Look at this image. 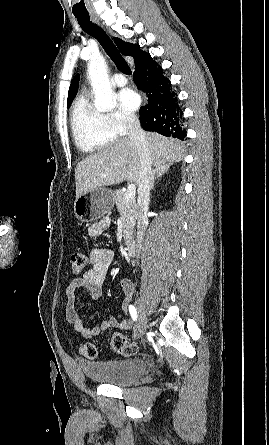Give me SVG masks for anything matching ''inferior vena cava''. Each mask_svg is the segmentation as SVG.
Masks as SVG:
<instances>
[{
	"mask_svg": "<svg viewBox=\"0 0 269 445\" xmlns=\"http://www.w3.org/2000/svg\"><path fill=\"white\" fill-rule=\"evenodd\" d=\"M128 136L136 146L140 157V175L138 181V223L136 232V247L139 253L147 226V212L152 183V161L146 133L140 126L137 117L130 116L127 120Z\"/></svg>",
	"mask_w": 269,
	"mask_h": 445,
	"instance_id": "1",
	"label": "inferior vena cava"
}]
</instances>
